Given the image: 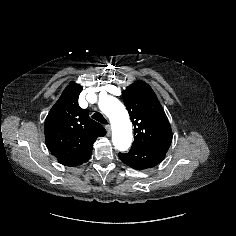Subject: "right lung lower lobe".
<instances>
[{"label":"right lung lower lobe","mask_w":236,"mask_h":236,"mask_svg":"<svg viewBox=\"0 0 236 236\" xmlns=\"http://www.w3.org/2000/svg\"><path fill=\"white\" fill-rule=\"evenodd\" d=\"M90 156H91V154L89 156H87L85 159H83L82 161H80L79 163H77L75 166L81 165V164L87 162L89 160Z\"/></svg>","instance_id":"right-lung-lower-lobe-1"}]
</instances>
